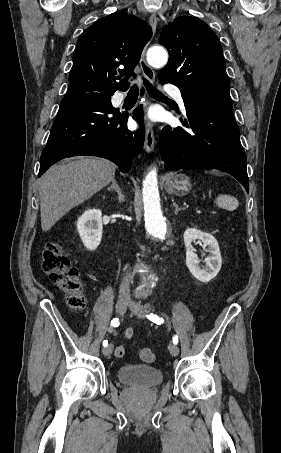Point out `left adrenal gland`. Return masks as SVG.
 <instances>
[{"instance_id":"obj_1","label":"left adrenal gland","mask_w":281,"mask_h":453,"mask_svg":"<svg viewBox=\"0 0 281 453\" xmlns=\"http://www.w3.org/2000/svg\"><path fill=\"white\" fill-rule=\"evenodd\" d=\"M173 206H175V214H178V210H181V208H179L178 204H176V202H173Z\"/></svg>"}]
</instances>
